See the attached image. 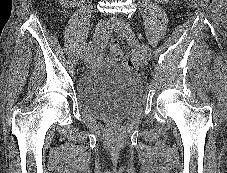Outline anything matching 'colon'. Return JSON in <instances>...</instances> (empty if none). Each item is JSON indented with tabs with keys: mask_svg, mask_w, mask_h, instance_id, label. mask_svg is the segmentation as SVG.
I'll return each mask as SVG.
<instances>
[{
	"mask_svg": "<svg viewBox=\"0 0 227 173\" xmlns=\"http://www.w3.org/2000/svg\"><path fill=\"white\" fill-rule=\"evenodd\" d=\"M187 4L191 7H200L205 5L208 0H186ZM110 50L112 56L126 63L130 67H134L136 65V60L133 55L130 53H124L120 50L119 43L116 40L111 41Z\"/></svg>",
	"mask_w": 227,
	"mask_h": 173,
	"instance_id": "colon-1",
	"label": "colon"
}]
</instances>
